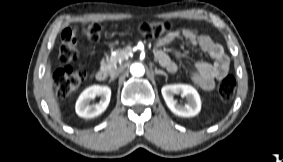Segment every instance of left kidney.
I'll list each match as a JSON object with an SVG mask.
<instances>
[{
  "label": "left kidney",
  "mask_w": 283,
  "mask_h": 162,
  "mask_svg": "<svg viewBox=\"0 0 283 162\" xmlns=\"http://www.w3.org/2000/svg\"><path fill=\"white\" fill-rule=\"evenodd\" d=\"M162 96L168 108L176 115L181 117H193L200 112L201 100L194 87L187 84L165 85L161 89ZM180 94L186 98L184 105L174 100V95Z\"/></svg>",
  "instance_id": "left-kidney-1"
}]
</instances>
